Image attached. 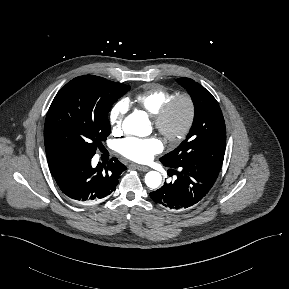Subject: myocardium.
Wrapping results in <instances>:
<instances>
[{"instance_id":"f54148a6","label":"myocardium","mask_w":289,"mask_h":289,"mask_svg":"<svg viewBox=\"0 0 289 289\" xmlns=\"http://www.w3.org/2000/svg\"><path fill=\"white\" fill-rule=\"evenodd\" d=\"M182 100L188 105V116L183 127L179 131L172 133L169 130V119L177 103ZM196 114L197 107L194 97L188 92H176L161 105L157 112L152 114V120L155 128L167 142L179 144L191 133Z\"/></svg>"}]
</instances>
